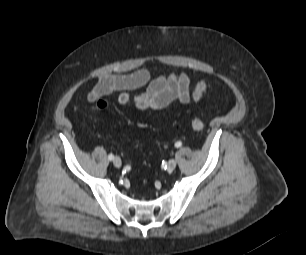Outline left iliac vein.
I'll list each match as a JSON object with an SVG mask.
<instances>
[{"mask_svg":"<svg viewBox=\"0 0 306 255\" xmlns=\"http://www.w3.org/2000/svg\"><path fill=\"white\" fill-rule=\"evenodd\" d=\"M177 162L175 159H170L166 165L167 171L170 173L176 168Z\"/></svg>","mask_w":306,"mask_h":255,"instance_id":"left-iliac-vein-1","label":"left iliac vein"}]
</instances>
